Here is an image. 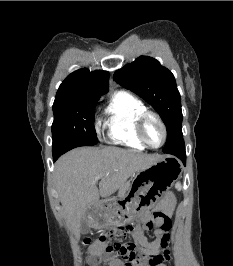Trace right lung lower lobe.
Listing matches in <instances>:
<instances>
[{"instance_id": "1", "label": "right lung lower lobe", "mask_w": 233, "mask_h": 266, "mask_svg": "<svg viewBox=\"0 0 233 266\" xmlns=\"http://www.w3.org/2000/svg\"><path fill=\"white\" fill-rule=\"evenodd\" d=\"M60 155H61V154H54V155H53V159H54V161H56Z\"/></svg>"}]
</instances>
